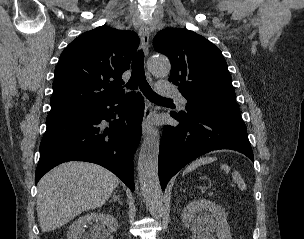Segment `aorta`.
Returning a JSON list of instances; mask_svg holds the SVG:
<instances>
[{"mask_svg": "<svg viewBox=\"0 0 304 239\" xmlns=\"http://www.w3.org/2000/svg\"><path fill=\"white\" fill-rule=\"evenodd\" d=\"M148 65L150 72L159 77H166L171 70L170 61L161 55L151 57ZM159 145V131L154 129L145 137L138 158L142 195L149 212L156 218L163 216V199L158 176Z\"/></svg>", "mask_w": 304, "mask_h": 239, "instance_id": "762f6f07", "label": "aorta"}]
</instances>
